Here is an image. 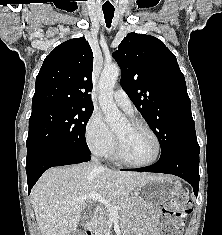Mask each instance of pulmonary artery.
<instances>
[{
	"label": "pulmonary artery",
	"instance_id": "obj_1",
	"mask_svg": "<svg viewBox=\"0 0 222 235\" xmlns=\"http://www.w3.org/2000/svg\"><path fill=\"white\" fill-rule=\"evenodd\" d=\"M115 103L122 108L126 113L133 114V105L126 92L122 89H117L113 93Z\"/></svg>",
	"mask_w": 222,
	"mask_h": 235
}]
</instances>
